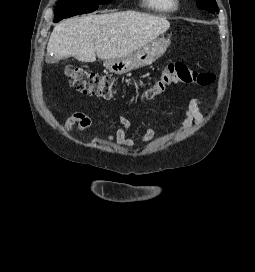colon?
<instances>
[{
    "mask_svg": "<svg viewBox=\"0 0 255 272\" xmlns=\"http://www.w3.org/2000/svg\"><path fill=\"white\" fill-rule=\"evenodd\" d=\"M72 87L83 94L96 95L109 99L114 95V80L112 74H99L85 68H69L66 71ZM215 79L210 72L191 69L184 63H169L165 65L156 81L143 93V98L151 100L174 85H208Z\"/></svg>",
    "mask_w": 255,
    "mask_h": 272,
    "instance_id": "1",
    "label": "colon"
}]
</instances>
